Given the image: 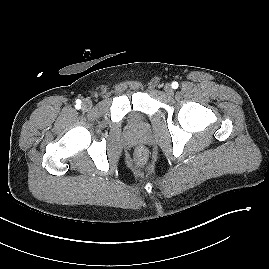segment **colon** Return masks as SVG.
Segmentation results:
<instances>
[{"mask_svg": "<svg viewBox=\"0 0 269 269\" xmlns=\"http://www.w3.org/2000/svg\"><path fill=\"white\" fill-rule=\"evenodd\" d=\"M133 160L136 164L142 165L147 160V153L143 148H138L133 155Z\"/></svg>", "mask_w": 269, "mask_h": 269, "instance_id": "1", "label": "colon"}]
</instances>
